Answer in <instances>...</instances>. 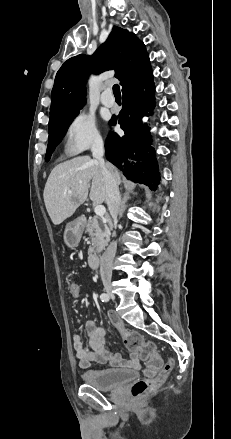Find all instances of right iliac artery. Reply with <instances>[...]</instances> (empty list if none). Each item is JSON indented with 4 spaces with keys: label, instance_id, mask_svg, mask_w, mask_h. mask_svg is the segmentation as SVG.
I'll use <instances>...</instances> for the list:
<instances>
[{
    "label": "right iliac artery",
    "instance_id": "right-iliac-artery-1",
    "mask_svg": "<svg viewBox=\"0 0 231 439\" xmlns=\"http://www.w3.org/2000/svg\"><path fill=\"white\" fill-rule=\"evenodd\" d=\"M100 299H101L102 302H107V301H109L110 297H109L108 294H106V293H102V294L100 295Z\"/></svg>",
    "mask_w": 231,
    "mask_h": 439
}]
</instances>
